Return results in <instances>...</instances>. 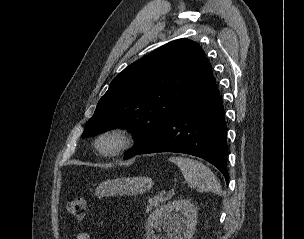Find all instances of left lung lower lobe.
<instances>
[{"label": "left lung lower lobe", "mask_w": 304, "mask_h": 239, "mask_svg": "<svg viewBox=\"0 0 304 239\" xmlns=\"http://www.w3.org/2000/svg\"><path fill=\"white\" fill-rule=\"evenodd\" d=\"M227 129L224 108L213 76L145 146L125 156L178 152L203 158L219 169L228 184Z\"/></svg>", "instance_id": "1"}]
</instances>
